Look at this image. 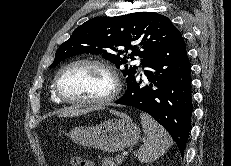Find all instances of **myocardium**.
I'll list each match as a JSON object with an SVG mask.
<instances>
[{
  "label": "myocardium",
  "mask_w": 231,
  "mask_h": 166,
  "mask_svg": "<svg viewBox=\"0 0 231 166\" xmlns=\"http://www.w3.org/2000/svg\"><path fill=\"white\" fill-rule=\"evenodd\" d=\"M81 64L98 66L108 73L112 82V87L108 94H106L103 97L93 98V99H71L66 97L62 93L59 86L60 76L64 71H66L70 67L75 65H81ZM53 89L57 97L65 103L79 105V106L107 105L113 102L120 94L121 81L115 68L107 61L98 58H80L65 64L58 70L53 80Z\"/></svg>",
  "instance_id": "myocardium-1"
}]
</instances>
